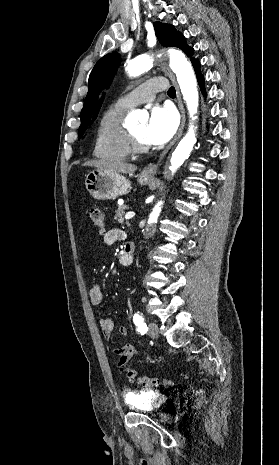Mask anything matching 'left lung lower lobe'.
<instances>
[{
  "label": "left lung lower lobe",
  "mask_w": 279,
  "mask_h": 465,
  "mask_svg": "<svg viewBox=\"0 0 279 465\" xmlns=\"http://www.w3.org/2000/svg\"><path fill=\"white\" fill-rule=\"evenodd\" d=\"M192 62V65L195 69V72H196V76H197V80H198V83L201 87V90L203 92V94L205 93V90H204V78H203V75L200 73V62L199 60H194V61H191Z\"/></svg>",
  "instance_id": "0a47b994"
}]
</instances>
